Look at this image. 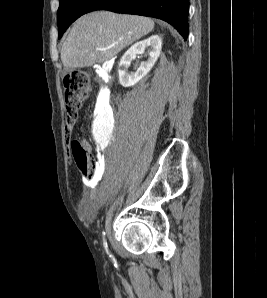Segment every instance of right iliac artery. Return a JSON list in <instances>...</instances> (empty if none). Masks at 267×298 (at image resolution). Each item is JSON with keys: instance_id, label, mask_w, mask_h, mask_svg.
Masks as SVG:
<instances>
[{"instance_id": "obj_1", "label": "right iliac artery", "mask_w": 267, "mask_h": 298, "mask_svg": "<svg viewBox=\"0 0 267 298\" xmlns=\"http://www.w3.org/2000/svg\"><path fill=\"white\" fill-rule=\"evenodd\" d=\"M103 246L107 252V254H109L110 257H112L108 251V246H107V242H106V239H105V232H103Z\"/></svg>"}]
</instances>
